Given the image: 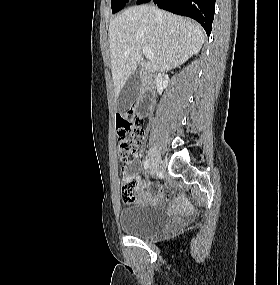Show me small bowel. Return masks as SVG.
<instances>
[{
  "mask_svg": "<svg viewBox=\"0 0 280 285\" xmlns=\"http://www.w3.org/2000/svg\"><path fill=\"white\" fill-rule=\"evenodd\" d=\"M132 165L135 166V168H138L140 165V161L135 159L131 162ZM137 183V188H136V199L138 201L142 202H157L160 200V196L158 195H153L152 193L149 192L147 189L146 185L144 182L138 177V176H133Z\"/></svg>",
  "mask_w": 280,
  "mask_h": 285,
  "instance_id": "1",
  "label": "small bowel"
}]
</instances>
